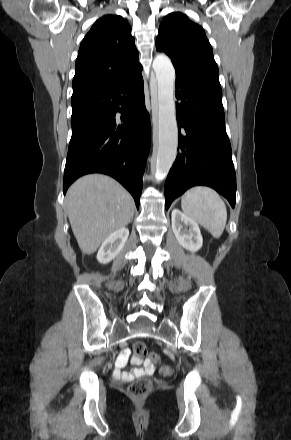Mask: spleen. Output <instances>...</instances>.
Here are the masks:
<instances>
[{"label":"spleen","instance_id":"3e777b00","mask_svg":"<svg viewBox=\"0 0 291 440\" xmlns=\"http://www.w3.org/2000/svg\"><path fill=\"white\" fill-rule=\"evenodd\" d=\"M181 206L186 215L207 229L214 238L221 237L227 221V209L215 190L204 186L193 187L182 196Z\"/></svg>","mask_w":291,"mask_h":440}]
</instances>
